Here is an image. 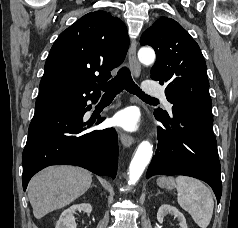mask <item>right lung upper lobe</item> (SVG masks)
<instances>
[{"mask_svg": "<svg viewBox=\"0 0 238 228\" xmlns=\"http://www.w3.org/2000/svg\"><path fill=\"white\" fill-rule=\"evenodd\" d=\"M125 24L105 11L90 12L64 30L54 42L40 82L36 112L99 97L96 82L111 77L126 55Z\"/></svg>", "mask_w": 238, "mask_h": 228, "instance_id": "cb5924a9", "label": "right lung upper lobe"}]
</instances>
